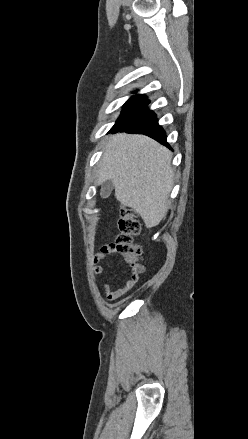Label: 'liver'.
<instances>
[{"label":"liver","mask_w":248,"mask_h":439,"mask_svg":"<svg viewBox=\"0 0 248 439\" xmlns=\"http://www.w3.org/2000/svg\"><path fill=\"white\" fill-rule=\"evenodd\" d=\"M171 160L172 153L147 136L114 134L98 164L97 184L111 180L115 198L151 228L168 212L174 177Z\"/></svg>","instance_id":"obj_1"}]
</instances>
